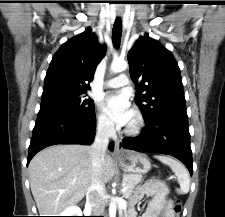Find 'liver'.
<instances>
[{"mask_svg": "<svg viewBox=\"0 0 225 217\" xmlns=\"http://www.w3.org/2000/svg\"><path fill=\"white\" fill-rule=\"evenodd\" d=\"M91 146L58 144L37 153L29 164L30 187L40 216H57L79 202L92 181ZM115 174L113 158L105 154L100 181Z\"/></svg>", "mask_w": 225, "mask_h": 217, "instance_id": "1", "label": "liver"}]
</instances>
